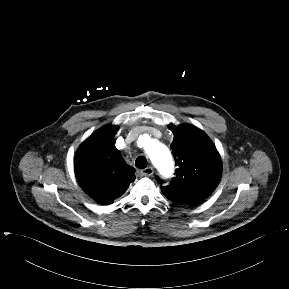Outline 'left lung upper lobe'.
Returning a JSON list of instances; mask_svg holds the SVG:
<instances>
[{
    "instance_id": "5c2ea615",
    "label": "left lung upper lobe",
    "mask_w": 289,
    "mask_h": 289,
    "mask_svg": "<svg viewBox=\"0 0 289 289\" xmlns=\"http://www.w3.org/2000/svg\"><path fill=\"white\" fill-rule=\"evenodd\" d=\"M168 128L174 133L171 149L178 168L170 184L161 186V190L175 203L195 206L208 197L220 181V155L210 138L197 127L183 124ZM156 180L161 183L158 177Z\"/></svg>"
}]
</instances>
